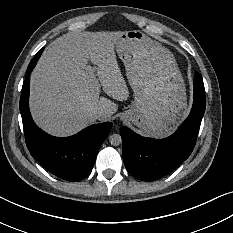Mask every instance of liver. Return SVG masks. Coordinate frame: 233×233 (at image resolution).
<instances>
[{"label":"liver","instance_id":"liver-1","mask_svg":"<svg viewBox=\"0 0 233 233\" xmlns=\"http://www.w3.org/2000/svg\"><path fill=\"white\" fill-rule=\"evenodd\" d=\"M121 31L68 32L53 40L42 52L30 74L29 110L34 123L54 137L79 133L96 120L94 113L104 110L100 121L114 115L128 97L120 74L113 43ZM90 61L96 66L87 64ZM96 74L100 96L91 78Z\"/></svg>","mask_w":233,"mask_h":233}]
</instances>
